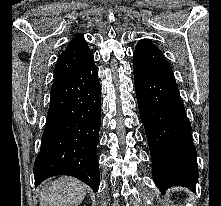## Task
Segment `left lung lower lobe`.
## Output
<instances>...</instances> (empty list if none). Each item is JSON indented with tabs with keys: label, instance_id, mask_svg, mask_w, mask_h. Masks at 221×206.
Instances as JSON below:
<instances>
[{
	"label": "left lung lower lobe",
	"instance_id": "obj_1",
	"mask_svg": "<svg viewBox=\"0 0 221 206\" xmlns=\"http://www.w3.org/2000/svg\"><path fill=\"white\" fill-rule=\"evenodd\" d=\"M134 84L155 184L161 192L171 186L195 191L197 155L175 79L134 71Z\"/></svg>",
	"mask_w": 221,
	"mask_h": 206
}]
</instances>
